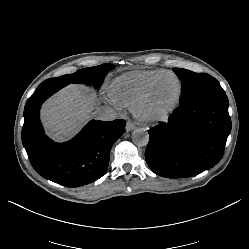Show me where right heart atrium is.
Here are the masks:
<instances>
[{"label":"right heart atrium","instance_id":"d8ad5b80","mask_svg":"<svg viewBox=\"0 0 249 249\" xmlns=\"http://www.w3.org/2000/svg\"><path fill=\"white\" fill-rule=\"evenodd\" d=\"M109 103L117 111H121L123 109V104L113 98L109 100Z\"/></svg>","mask_w":249,"mask_h":249}]
</instances>
